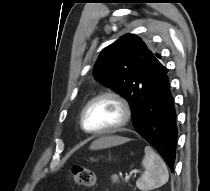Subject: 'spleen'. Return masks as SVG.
I'll return each mask as SVG.
<instances>
[{
    "mask_svg": "<svg viewBox=\"0 0 210 191\" xmlns=\"http://www.w3.org/2000/svg\"><path fill=\"white\" fill-rule=\"evenodd\" d=\"M142 166L145 172L137 180L136 186L139 190L148 191L161 187L169 179V173L165 162L149 146H146Z\"/></svg>",
    "mask_w": 210,
    "mask_h": 191,
    "instance_id": "obj_1",
    "label": "spleen"
}]
</instances>
